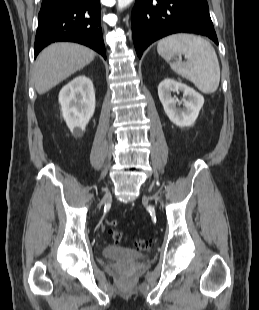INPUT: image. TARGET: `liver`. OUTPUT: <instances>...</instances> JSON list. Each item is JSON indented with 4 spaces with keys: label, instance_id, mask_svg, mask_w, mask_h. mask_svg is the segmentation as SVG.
I'll use <instances>...</instances> for the list:
<instances>
[{
    "label": "liver",
    "instance_id": "obj_1",
    "mask_svg": "<svg viewBox=\"0 0 259 310\" xmlns=\"http://www.w3.org/2000/svg\"><path fill=\"white\" fill-rule=\"evenodd\" d=\"M96 53L75 43H55L38 56L35 70V89L42 95L76 71L93 61Z\"/></svg>",
    "mask_w": 259,
    "mask_h": 310
}]
</instances>
